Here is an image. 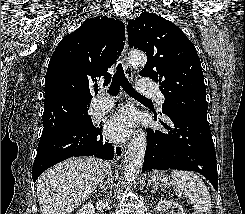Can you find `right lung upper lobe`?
I'll return each mask as SVG.
<instances>
[{
	"label": "right lung upper lobe",
	"mask_w": 245,
	"mask_h": 214,
	"mask_svg": "<svg viewBox=\"0 0 245 214\" xmlns=\"http://www.w3.org/2000/svg\"><path fill=\"white\" fill-rule=\"evenodd\" d=\"M125 40L122 22L103 16L85 20L66 35L50 59L46 80L43 127L73 120L88 110L92 95L98 92L97 81L119 58Z\"/></svg>",
	"instance_id": "obj_1"
}]
</instances>
